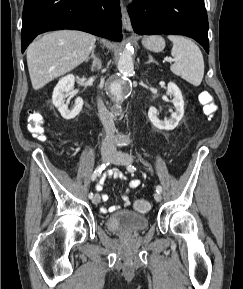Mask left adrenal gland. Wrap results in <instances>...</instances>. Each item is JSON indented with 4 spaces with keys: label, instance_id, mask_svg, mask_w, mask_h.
Here are the masks:
<instances>
[{
    "label": "left adrenal gland",
    "instance_id": "obj_1",
    "mask_svg": "<svg viewBox=\"0 0 243 289\" xmlns=\"http://www.w3.org/2000/svg\"><path fill=\"white\" fill-rule=\"evenodd\" d=\"M149 60L146 62L147 64L149 63H156V61L153 59L152 55H148Z\"/></svg>",
    "mask_w": 243,
    "mask_h": 289
}]
</instances>
